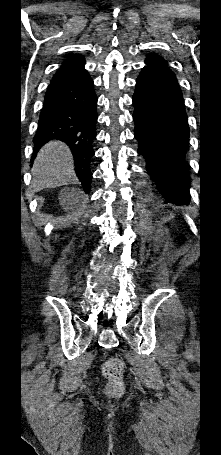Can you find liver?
Instances as JSON below:
<instances>
[{
  "label": "liver",
  "instance_id": "obj_1",
  "mask_svg": "<svg viewBox=\"0 0 221 455\" xmlns=\"http://www.w3.org/2000/svg\"><path fill=\"white\" fill-rule=\"evenodd\" d=\"M36 190L54 188L74 179L73 160L68 147L60 141H50L39 151L32 168Z\"/></svg>",
  "mask_w": 221,
  "mask_h": 455
}]
</instances>
